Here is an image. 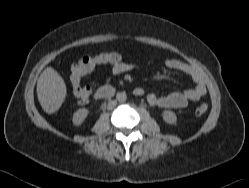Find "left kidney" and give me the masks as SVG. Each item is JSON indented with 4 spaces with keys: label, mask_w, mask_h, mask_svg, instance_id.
I'll return each mask as SVG.
<instances>
[{
    "label": "left kidney",
    "mask_w": 249,
    "mask_h": 188,
    "mask_svg": "<svg viewBox=\"0 0 249 188\" xmlns=\"http://www.w3.org/2000/svg\"><path fill=\"white\" fill-rule=\"evenodd\" d=\"M163 120L171 125H175L177 123V116L173 111L166 110L162 113Z\"/></svg>",
    "instance_id": "left-kidney-1"
}]
</instances>
